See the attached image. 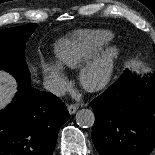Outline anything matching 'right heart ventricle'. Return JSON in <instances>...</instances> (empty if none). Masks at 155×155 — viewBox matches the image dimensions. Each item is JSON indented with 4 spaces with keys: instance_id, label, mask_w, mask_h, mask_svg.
<instances>
[{
    "instance_id": "right-heart-ventricle-1",
    "label": "right heart ventricle",
    "mask_w": 155,
    "mask_h": 155,
    "mask_svg": "<svg viewBox=\"0 0 155 155\" xmlns=\"http://www.w3.org/2000/svg\"><path fill=\"white\" fill-rule=\"evenodd\" d=\"M113 39L107 30H84L59 40L55 45L58 64L74 69L95 56Z\"/></svg>"
}]
</instances>
